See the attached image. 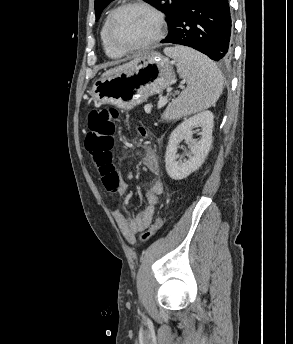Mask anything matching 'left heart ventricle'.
Returning a JSON list of instances; mask_svg holds the SVG:
<instances>
[{"label": "left heart ventricle", "instance_id": "b2bd125f", "mask_svg": "<svg viewBox=\"0 0 293 344\" xmlns=\"http://www.w3.org/2000/svg\"><path fill=\"white\" fill-rule=\"evenodd\" d=\"M156 31L154 17L142 8L121 11L114 23L116 41L124 46H135L147 41Z\"/></svg>", "mask_w": 293, "mask_h": 344}]
</instances>
